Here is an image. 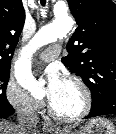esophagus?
Instances as JSON below:
<instances>
[{
	"instance_id": "obj_1",
	"label": "esophagus",
	"mask_w": 116,
	"mask_h": 134,
	"mask_svg": "<svg viewBox=\"0 0 116 134\" xmlns=\"http://www.w3.org/2000/svg\"><path fill=\"white\" fill-rule=\"evenodd\" d=\"M43 128L45 131H49V132L56 130V127L51 122H44Z\"/></svg>"
}]
</instances>
